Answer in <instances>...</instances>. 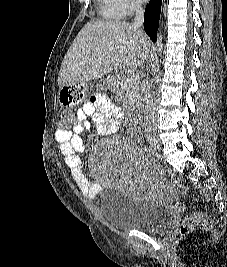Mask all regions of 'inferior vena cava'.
<instances>
[{
	"label": "inferior vena cava",
	"mask_w": 227,
	"mask_h": 267,
	"mask_svg": "<svg viewBox=\"0 0 227 267\" xmlns=\"http://www.w3.org/2000/svg\"><path fill=\"white\" fill-rule=\"evenodd\" d=\"M135 18L133 21V28L139 29L143 26L144 22V10L140 3H135ZM151 85L146 80L143 82V92H144V127L146 135L155 134L157 131V116L155 112V99L151 94Z\"/></svg>",
	"instance_id": "1"
}]
</instances>
